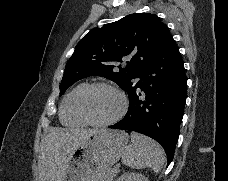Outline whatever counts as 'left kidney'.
<instances>
[{
    "mask_svg": "<svg viewBox=\"0 0 228 181\" xmlns=\"http://www.w3.org/2000/svg\"><path fill=\"white\" fill-rule=\"evenodd\" d=\"M117 181H149V179L140 173H124Z\"/></svg>",
    "mask_w": 228,
    "mask_h": 181,
    "instance_id": "obj_1",
    "label": "left kidney"
}]
</instances>
